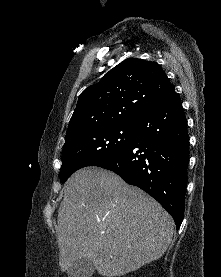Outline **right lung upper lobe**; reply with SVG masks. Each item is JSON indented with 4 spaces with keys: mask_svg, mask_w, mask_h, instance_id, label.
<instances>
[{
    "mask_svg": "<svg viewBox=\"0 0 221 277\" xmlns=\"http://www.w3.org/2000/svg\"><path fill=\"white\" fill-rule=\"evenodd\" d=\"M174 92L159 64L126 59L80 94L66 140L92 127L134 123Z\"/></svg>",
    "mask_w": 221,
    "mask_h": 277,
    "instance_id": "1",
    "label": "right lung upper lobe"
}]
</instances>
